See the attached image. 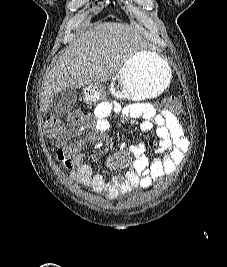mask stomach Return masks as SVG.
Segmentation results:
<instances>
[{
	"instance_id": "obj_1",
	"label": "stomach",
	"mask_w": 227,
	"mask_h": 267,
	"mask_svg": "<svg viewBox=\"0 0 227 267\" xmlns=\"http://www.w3.org/2000/svg\"><path fill=\"white\" fill-rule=\"evenodd\" d=\"M171 80V68L167 61L157 53L142 50L134 54L120 69L110 83V96H121L122 99L142 101L160 95ZM108 87L88 85L85 92L87 101L102 99L108 94Z\"/></svg>"
}]
</instances>
